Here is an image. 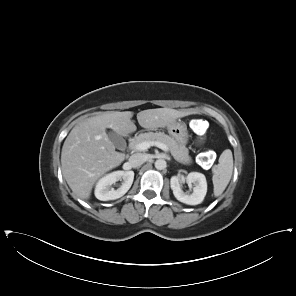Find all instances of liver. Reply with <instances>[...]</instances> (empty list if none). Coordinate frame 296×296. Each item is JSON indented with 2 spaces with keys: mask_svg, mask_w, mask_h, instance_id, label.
I'll return each mask as SVG.
<instances>
[{
  "mask_svg": "<svg viewBox=\"0 0 296 296\" xmlns=\"http://www.w3.org/2000/svg\"><path fill=\"white\" fill-rule=\"evenodd\" d=\"M193 113L170 108L147 109L137 114V120L145 129H158ZM132 116L131 111L105 112L80 122L70 131L62 147L61 165L63 176L76 197L89 199L95 182L124 161L125 154L115 151L106 129L127 136L137 129Z\"/></svg>",
  "mask_w": 296,
  "mask_h": 296,
  "instance_id": "liver-1",
  "label": "liver"
}]
</instances>
